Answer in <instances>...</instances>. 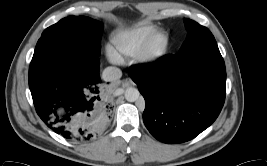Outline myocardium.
I'll use <instances>...</instances> for the list:
<instances>
[{"label":"myocardium","mask_w":267,"mask_h":166,"mask_svg":"<svg viewBox=\"0 0 267 166\" xmlns=\"http://www.w3.org/2000/svg\"><path fill=\"white\" fill-rule=\"evenodd\" d=\"M170 40V34L166 30H156L136 53L137 61L143 64L159 61L167 54Z\"/></svg>","instance_id":"myocardium-1"}]
</instances>
